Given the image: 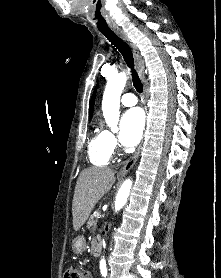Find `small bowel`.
<instances>
[{
  "instance_id": "obj_1",
  "label": "small bowel",
  "mask_w": 221,
  "mask_h": 278,
  "mask_svg": "<svg viewBox=\"0 0 221 278\" xmlns=\"http://www.w3.org/2000/svg\"><path fill=\"white\" fill-rule=\"evenodd\" d=\"M84 278H93L91 272L88 271V270H85L84 271Z\"/></svg>"
}]
</instances>
